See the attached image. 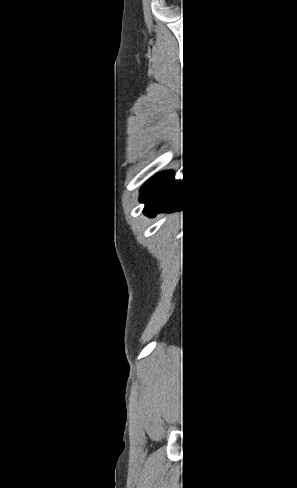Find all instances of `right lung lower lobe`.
Wrapping results in <instances>:
<instances>
[{"label": "right lung lower lobe", "mask_w": 297, "mask_h": 488, "mask_svg": "<svg viewBox=\"0 0 297 488\" xmlns=\"http://www.w3.org/2000/svg\"><path fill=\"white\" fill-rule=\"evenodd\" d=\"M183 183L174 179L172 171L160 172L149 179L140 195V201L145 204L144 214L154 217L160 212L181 210L182 197H186Z\"/></svg>", "instance_id": "98d812e1"}]
</instances>
